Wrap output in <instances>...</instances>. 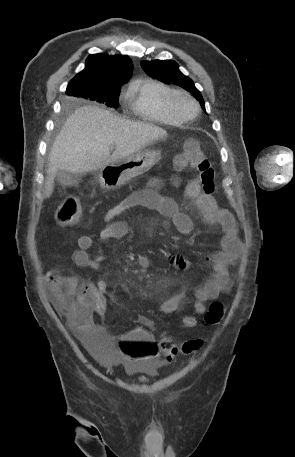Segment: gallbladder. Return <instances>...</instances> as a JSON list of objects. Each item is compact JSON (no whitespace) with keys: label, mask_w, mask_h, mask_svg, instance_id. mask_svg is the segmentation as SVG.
<instances>
[{"label":"gallbladder","mask_w":295,"mask_h":457,"mask_svg":"<svg viewBox=\"0 0 295 457\" xmlns=\"http://www.w3.org/2000/svg\"><path fill=\"white\" fill-rule=\"evenodd\" d=\"M56 181H58L63 186H73L77 185L81 180V175L73 174L69 171L59 170L55 175Z\"/></svg>","instance_id":"1"}]
</instances>
